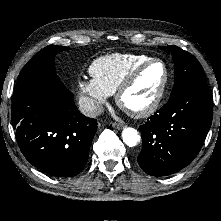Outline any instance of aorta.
I'll use <instances>...</instances> for the list:
<instances>
[{
  "mask_svg": "<svg viewBox=\"0 0 221 221\" xmlns=\"http://www.w3.org/2000/svg\"><path fill=\"white\" fill-rule=\"evenodd\" d=\"M122 139L126 145L133 147L137 145L140 138L136 129L127 127L122 131Z\"/></svg>",
  "mask_w": 221,
  "mask_h": 221,
  "instance_id": "762f6f07",
  "label": "aorta"
}]
</instances>
